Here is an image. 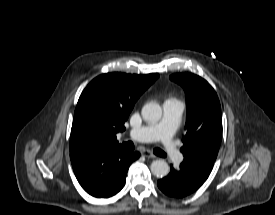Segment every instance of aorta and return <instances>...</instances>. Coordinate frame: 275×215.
<instances>
[{
  "label": "aorta",
  "mask_w": 275,
  "mask_h": 215,
  "mask_svg": "<svg viewBox=\"0 0 275 215\" xmlns=\"http://www.w3.org/2000/svg\"><path fill=\"white\" fill-rule=\"evenodd\" d=\"M142 117L149 123H156L162 116V108L159 104L150 102L143 106L141 111ZM151 172L158 178H163L169 173V165L164 160H155L150 166Z\"/></svg>",
  "instance_id": "obj_1"
}]
</instances>
